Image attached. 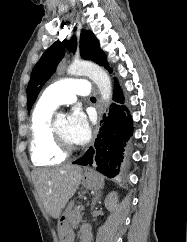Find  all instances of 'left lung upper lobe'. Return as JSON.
<instances>
[{"instance_id": "left-lung-upper-lobe-1", "label": "left lung upper lobe", "mask_w": 187, "mask_h": 242, "mask_svg": "<svg viewBox=\"0 0 187 242\" xmlns=\"http://www.w3.org/2000/svg\"><path fill=\"white\" fill-rule=\"evenodd\" d=\"M76 39L72 37L71 41L53 43L41 56L38 63L32 71L31 79L27 87V107L30 110L33 106L42 86L55 72L58 63L64 56V48L70 51L76 50ZM80 51L84 59L91 60L101 66H104L110 73L112 70L107 62L105 53L100 49L97 38L91 31L82 30L80 35Z\"/></svg>"}]
</instances>
